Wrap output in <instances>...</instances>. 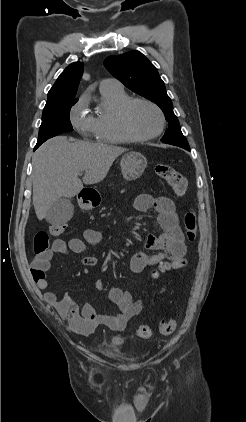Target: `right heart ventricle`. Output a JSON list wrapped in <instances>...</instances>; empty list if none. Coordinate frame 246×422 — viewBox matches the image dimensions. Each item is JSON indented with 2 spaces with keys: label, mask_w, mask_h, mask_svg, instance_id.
I'll use <instances>...</instances> for the list:
<instances>
[{
  "label": "right heart ventricle",
  "mask_w": 246,
  "mask_h": 422,
  "mask_svg": "<svg viewBox=\"0 0 246 422\" xmlns=\"http://www.w3.org/2000/svg\"><path fill=\"white\" fill-rule=\"evenodd\" d=\"M104 109L94 117V135L99 142L130 143L133 140L122 129L118 112L131 97L123 88L100 89Z\"/></svg>",
  "instance_id": "1"
}]
</instances>
